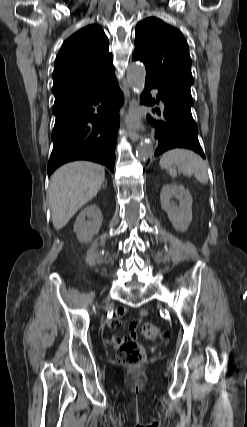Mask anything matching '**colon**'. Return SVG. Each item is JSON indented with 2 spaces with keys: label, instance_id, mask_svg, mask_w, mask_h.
Here are the masks:
<instances>
[{
  "label": "colon",
  "instance_id": "colon-1",
  "mask_svg": "<svg viewBox=\"0 0 247 427\" xmlns=\"http://www.w3.org/2000/svg\"><path fill=\"white\" fill-rule=\"evenodd\" d=\"M142 334L151 341H157L165 337V333L151 323H145L142 326ZM116 358L123 365L135 367L144 361L145 350L134 341L124 342L118 347Z\"/></svg>",
  "mask_w": 247,
  "mask_h": 427
}]
</instances>
